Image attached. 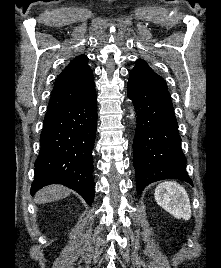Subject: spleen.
<instances>
[{
    "label": "spleen",
    "mask_w": 221,
    "mask_h": 268,
    "mask_svg": "<svg viewBox=\"0 0 221 268\" xmlns=\"http://www.w3.org/2000/svg\"><path fill=\"white\" fill-rule=\"evenodd\" d=\"M154 195L156 202L176 219H190V200L186 190L180 184L165 181L156 187Z\"/></svg>",
    "instance_id": "3e777b00"
}]
</instances>
